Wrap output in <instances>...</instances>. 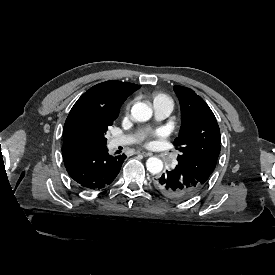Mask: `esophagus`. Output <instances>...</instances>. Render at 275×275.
<instances>
[{
	"label": "esophagus",
	"instance_id": "34e87169",
	"mask_svg": "<svg viewBox=\"0 0 275 275\" xmlns=\"http://www.w3.org/2000/svg\"><path fill=\"white\" fill-rule=\"evenodd\" d=\"M137 154H141L143 155L144 157H148V156H151L152 153L150 152H145V151H137Z\"/></svg>",
	"mask_w": 275,
	"mask_h": 275
}]
</instances>
